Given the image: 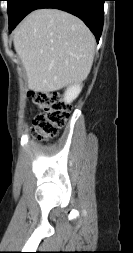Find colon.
<instances>
[{
    "mask_svg": "<svg viewBox=\"0 0 133 253\" xmlns=\"http://www.w3.org/2000/svg\"><path fill=\"white\" fill-rule=\"evenodd\" d=\"M30 97L39 114L33 119L32 130L38 138H51L57 135L67 122V106L56 92H31Z\"/></svg>",
    "mask_w": 133,
    "mask_h": 253,
    "instance_id": "1",
    "label": "colon"
}]
</instances>
